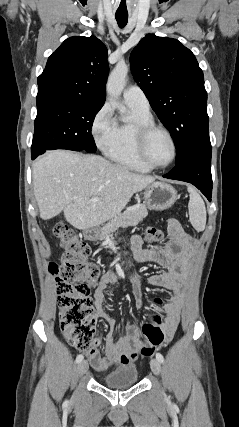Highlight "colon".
<instances>
[{
  "mask_svg": "<svg viewBox=\"0 0 239 427\" xmlns=\"http://www.w3.org/2000/svg\"><path fill=\"white\" fill-rule=\"evenodd\" d=\"M59 240L63 253L60 263L50 262L48 271L55 276L60 327L68 342L76 349L89 352L94 345L93 332L95 316L91 290L98 284L101 269L98 263L89 261L90 248L78 237L76 232L64 224L52 228ZM163 234L156 228H148L145 238L149 243L161 240ZM152 305H160V296L151 297ZM157 312L156 310L154 311ZM145 344L141 354L149 356L165 338L161 318L151 315L142 326Z\"/></svg>",
  "mask_w": 239,
  "mask_h": 427,
  "instance_id": "obj_1",
  "label": "colon"
}]
</instances>
